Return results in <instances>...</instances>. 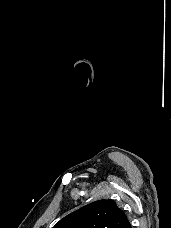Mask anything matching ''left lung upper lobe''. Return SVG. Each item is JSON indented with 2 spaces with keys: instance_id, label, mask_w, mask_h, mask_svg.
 I'll return each instance as SVG.
<instances>
[{
  "instance_id": "5c2ea615",
  "label": "left lung upper lobe",
  "mask_w": 171,
  "mask_h": 228,
  "mask_svg": "<svg viewBox=\"0 0 171 228\" xmlns=\"http://www.w3.org/2000/svg\"><path fill=\"white\" fill-rule=\"evenodd\" d=\"M127 222L113 200H98L65 216L53 228H122Z\"/></svg>"
}]
</instances>
